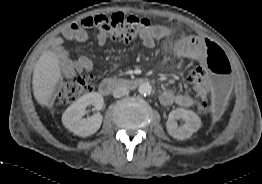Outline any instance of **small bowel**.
<instances>
[{"instance_id": "obj_1", "label": "small bowel", "mask_w": 262, "mask_h": 184, "mask_svg": "<svg viewBox=\"0 0 262 184\" xmlns=\"http://www.w3.org/2000/svg\"><path fill=\"white\" fill-rule=\"evenodd\" d=\"M171 30L164 25H153L140 36L143 45L147 48H153L158 40L169 37ZM63 37L68 40H76L84 43L88 37L83 27L80 24H71L63 31ZM99 46L107 42V37L98 33L96 38ZM207 41L197 36H186L180 38L174 46V54L177 57L195 60L203 66H206L209 61L204 53V45ZM62 38H58L55 43L56 52L60 60L61 70L67 77H71L76 73L90 72L93 70V61L81 56L77 60L69 58L68 51L62 45ZM160 101L164 106L176 104L183 108H199L197 102L188 94L176 93L172 90H165L160 96Z\"/></svg>"}]
</instances>
